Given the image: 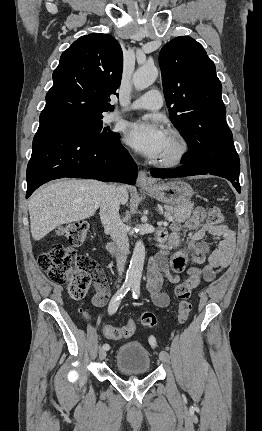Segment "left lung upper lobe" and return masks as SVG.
Instances as JSON below:
<instances>
[{
    "label": "left lung upper lobe",
    "mask_w": 262,
    "mask_h": 431,
    "mask_svg": "<svg viewBox=\"0 0 262 431\" xmlns=\"http://www.w3.org/2000/svg\"><path fill=\"white\" fill-rule=\"evenodd\" d=\"M159 64L169 117L190 149L182 162L212 172L224 160L239 163L222 85L204 48L190 37H176L161 49Z\"/></svg>",
    "instance_id": "obj_1"
}]
</instances>
